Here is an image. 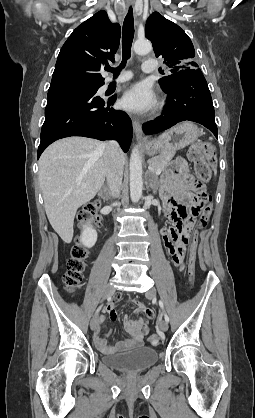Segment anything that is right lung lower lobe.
Segmentation results:
<instances>
[{"label": "right lung lower lobe", "mask_w": 255, "mask_h": 418, "mask_svg": "<svg viewBox=\"0 0 255 418\" xmlns=\"http://www.w3.org/2000/svg\"><path fill=\"white\" fill-rule=\"evenodd\" d=\"M103 84L96 88H49L38 158L52 142L69 136L115 139L124 152L129 150L131 120L125 112L110 108L116 96L105 99L96 95Z\"/></svg>", "instance_id": "98d812e1"}]
</instances>
